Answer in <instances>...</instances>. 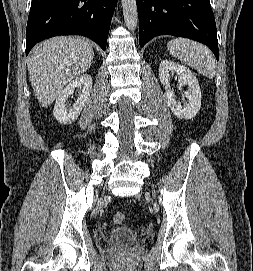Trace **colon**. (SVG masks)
Segmentation results:
<instances>
[{
    "mask_svg": "<svg viewBox=\"0 0 253 271\" xmlns=\"http://www.w3.org/2000/svg\"><path fill=\"white\" fill-rule=\"evenodd\" d=\"M125 221V214L121 211H117L113 214V222L116 224H122Z\"/></svg>",
    "mask_w": 253,
    "mask_h": 271,
    "instance_id": "1",
    "label": "colon"
}]
</instances>
